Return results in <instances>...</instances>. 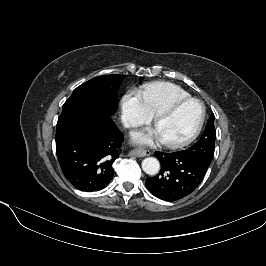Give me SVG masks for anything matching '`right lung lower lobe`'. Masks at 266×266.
I'll return each instance as SVG.
<instances>
[{
	"mask_svg": "<svg viewBox=\"0 0 266 266\" xmlns=\"http://www.w3.org/2000/svg\"><path fill=\"white\" fill-rule=\"evenodd\" d=\"M123 140L105 112L63 111L56 129V154L63 174L81 191L105 188L113 178Z\"/></svg>",
	"mask_w": 266,
	"mask_h": 266,
	"instance_id": "right-lung-lower-lobe-1",
	"label": "right lung lower lobe"
}]
</instances>
